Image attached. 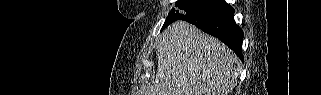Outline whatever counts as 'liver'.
<instances>
[{
    "instance_id": "liver-1",
    "label": "liver",
    "mask_w": 321,
    "mask_h": 95,
    "mask_svg": "<svg viewBox=\"0 0 321 95\" xmlns=\"http://www.w3.org/2000/svg\"><path fill=\"white\" fill-rule=\"evenodd\" d=\"M157 59V74L142 95H228L239 74L233 51L185 21L163 32Z\"/></svg>"
}]
</instances>
